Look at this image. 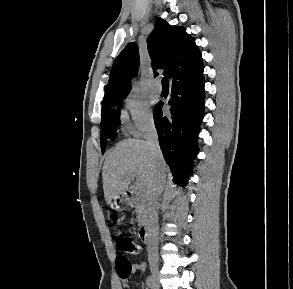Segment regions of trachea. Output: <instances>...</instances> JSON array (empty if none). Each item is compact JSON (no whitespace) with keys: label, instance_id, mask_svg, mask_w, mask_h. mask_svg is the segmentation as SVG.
Here are the masks:
<instances>
[{"label":"trachea","instance_id":"trachea-1","mask_svg":"<svg viewBox=\"0 0 293 289\" xmlns=\"http://www.w3.org/2000/svg\"><path fill=\"white\" fill-rule=\"evenodd\" d=\"M162 86L163 87H168L169 85H168V79L166 78V77H164L163 79H162Z\"/></svg>","mask_w":293,"mask_h":289}]
</instances>
